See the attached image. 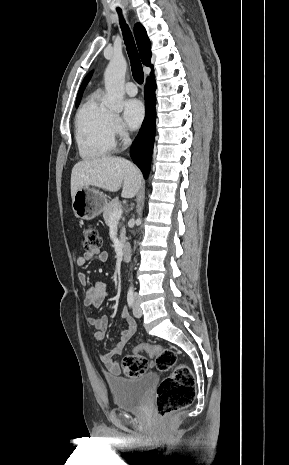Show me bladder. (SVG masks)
<instances>
[{
    "label": "bladder",
    "mask_w": 289,
    "mask_h": 465,
    "mask_svg": "<svg viewBox=\"0 0 289 465\" xmlns=\"http://www.w3.org/2000/svg\"><path fill=\"white\" fill-rule=\"evenodd\" d=\"M156 382L157 375L154 373L138 378L113 377L107 380L114 404L121 410L140 409Z\"/></svg>",
    "instance_id": "obj_1"
}]
</instances>
